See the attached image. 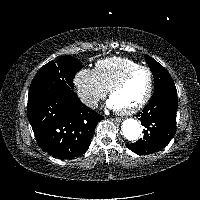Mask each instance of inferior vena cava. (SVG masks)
Segmentation results:
<instances>
[{"instance_id":"1","label":"inferior vena cava","mask_w":200,"mask_h":200,"mask_svg":"<svg viewBox=\"0 0 200 200\" xmlns=\"http://www.w3.org/2000/svg\"><path fill=\"white\" fill-rule=\"evenodd\" d=\"M82 102L92 109L98 107V99L94 97H84L82 98Z\"/></svg>"}]
</instances>
